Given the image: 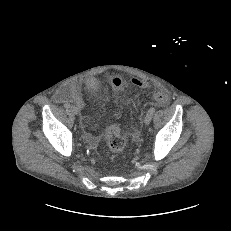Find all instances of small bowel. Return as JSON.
<instances>
[{
  "mask_svg": "<svg viewBox=\"0 0 231 231\" xmlns=\"http://www.w3.org/2000/svg\"><path fill=\"white\" fill-rule=\"evenodd\" d=\"M83 85L89 92H95L99 88L100 82L97 78L94 77L86 79L83 84L80 82H73L61 90V95L64 99L74 102L82 111H84V114L82 116V125L83 128L86 130L85 137L90 146L95 148L98 145L99 139L96 135L87 131L91 116L89 113V107L86 104L82 95Z\"/></svg>",
  "mask_w": 231,
  "mask_h": 231,
  "instance_id": "obj_1",
  "label": "small bowel"
}]
</instances>
